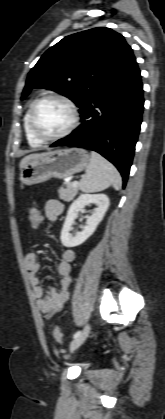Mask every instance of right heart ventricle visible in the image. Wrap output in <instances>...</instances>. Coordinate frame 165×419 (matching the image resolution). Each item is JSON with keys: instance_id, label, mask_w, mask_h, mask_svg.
Returning <instances> with one entry per match:
<instances>
[{"instance_id": "1", "label": "right heart ventricle", "mask_w": 165, "mask_h": 419, "mask_svg": "<svg viewBox=\"0 0 165 419\" xmlns=\"http://www.w3.org/2000/svg\"><path fill=\"white\" fill-rule=\"evenodd\" d=\"M33 102L29 105L24 118H23V127H24V132H25V136L27 139V142L30 146L32 147H39L42 142H40L39 140H37L33 134L31 133L30 127H29V112H30V108L32 106Z\"/></svg>"}]
</instances>
